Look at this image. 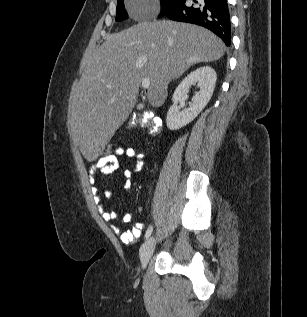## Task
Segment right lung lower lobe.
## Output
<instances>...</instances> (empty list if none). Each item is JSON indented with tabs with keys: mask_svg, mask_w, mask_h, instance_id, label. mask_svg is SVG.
I'll return each mask as SVG.
<instances>
[{
	"mask_svg": "<svg viewBox=\"0 0 307 317\" xmlns=\"http://www.w3.org/2000/svg\"><path fill=\"white\" fill-rule=\"evenodd\" d=\"M186 0H175L160 16L174 21L188 22L203 26L219 36L227 46L231 44L230 18L227 0H199L190 7Z\"/></svg>",
	"mask_w": 307,
	"mask_h": 317,
	"instance_id": "obj_1",
	"label": "right lung lower lobe"
}]
</instances>
